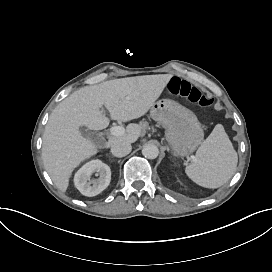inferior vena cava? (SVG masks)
I'll use <instances>...</instances> for the list:
<instances>
[{"instance_id": "1", "label": "inferior vena cava", "mask_w": 272, "mask_h": 272, "mask_svg": "<svg viewBox=\"0 0 272 272\" xmlns=\"http://www.w3.org/2000/svg\"><path fill=\"white\" fill-rule=\"evenodd\" d=\"M131 150V145L126 142H116L111 146V153L115 157H124L128 155Z\"/></svg>"}]
</instances>
